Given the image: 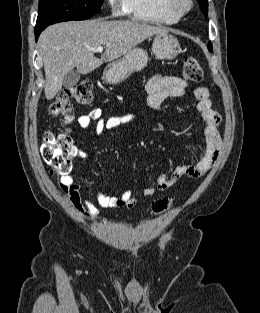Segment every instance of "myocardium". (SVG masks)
Returning <instances> with one entry per match:
<instances>
[{
  "label": "myocardium",
  "instance_id": "myocardium-1",
  "mask_svg": "<svg viewBox=\"0 0 260 313\" xmlns=\"http://www.w3.org/2000/svg\"><path fill=\"white\" fill-rule=\"evenodd\" d=\"M163 6L178 18L187 14L193 7L192 0H163Z\"/></svg>",
  "mask_w": 260,
  "mask_h": 313
}]
</instances>
